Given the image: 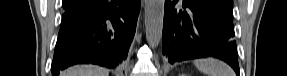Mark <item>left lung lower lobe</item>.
I'll use <instances>...</instances> for the list:
<instances>
[{"instance_id":"left-lung-lower-lobe-1","label":"left lung lower lobe","mask_w":287,"mask_h":76,"mask_svg":"<svg viewBox=\"0 0 287 76\" xmlns=\"http://www.w3.org/2000/svg\"><path fill=\"white\" fill-rule=\"evenodd\" d=\"M165 0L162 53L171 64L212 56L228 63L239 75L232 20L194 0Z\"/></svg>"}]
</instances>
